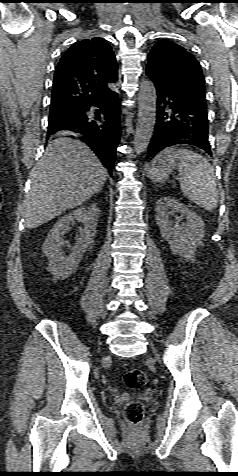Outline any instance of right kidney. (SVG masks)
I'll use <instances>...</instances> for the list:
<instances>
[{
	"label": "right kidney",
	"instance_id": "ca27d5eb",
	"mask_svg": "<svg viewBox=\"0 0 238 476\" xmlns=\"http://www.w3.org/2000/svg\"><path fill=\"white\" fill-rule=\"evenodd\" d=\"M98 217L99 209L96 205L84 206L63 216L51 229L42 251L48 257L49 271L56 279H65L76 269L88 246L94 241ZM75 220L84 223V227L79 229L80 236L75 245L70 246L63 236ZM64 246L71 249L69 256H63Z\"/></svg>",
	"mask_w": 238,
	"mask_h": 476
}]
</instances>
